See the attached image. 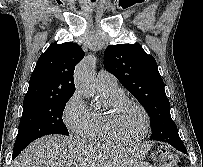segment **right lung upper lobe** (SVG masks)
I'll list each match as a JSON object with an SVG mask.
<instances>
[{
    "label": "right lung upper lobe",
    "mask_w": 203,
    "mask_h": 167,
    "mask_svg": "<svg viewBox=\"0 0 203 167\" xmlns=\"http://www.w3.org/2000/svg\"><path fill=\"white\" fill-rule=\"evenodd\" d=\"M83 57L84 52L76 43H52L37 61L24 102L72 96L74 69Z\"/></svg>",
    "instance_id": "right-lung-upper-lobe-1"
}]
</instances>
